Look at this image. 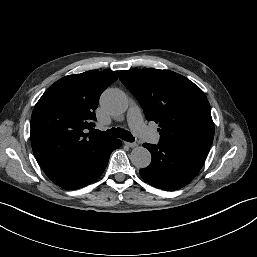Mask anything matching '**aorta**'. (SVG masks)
Returning a JSON list of instances; mask_svg holds the SVG:
<instances>
[{
  "label": "aorta",
  "instance_id": "762f6f07",
  "mask_svg": "<svg viewBox=\"0 0 257 257\" xmlns=\"http://www.w3.org/2000/svg\"><path fill=\"white\" fill-rule=\"evenodd\" d=\"M100 105L108 114L118 116L126 112L128 98L121 90L107 89L100 98ZM130 160L135 167L146 168L151 163V153L148 149L138 146L132 149Z\"/></svg>",
  "mask_w": 257,
  "mask_h": 257
}]
</instances>
